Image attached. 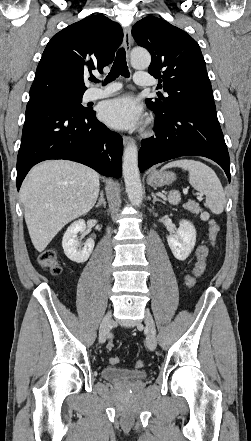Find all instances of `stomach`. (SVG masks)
<instances>
[{"mask_svg": "<svg viewBox=\"0 0 251 441\" xmlns=\"http://www.w3.org/2000/svg\"><path fill=\"white\" fill-rule=\"evenodd\" d=\"M175 180V174L169 171L153 170L149 173L147 181L152 187H162L172 183Z\"/></svg>", "mask_w": 251, "mask_h": 441, "instance_id": "stomach-1", "label": "stomach"}]
</instances>
